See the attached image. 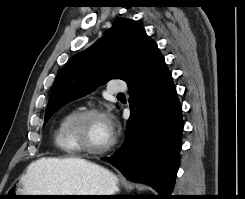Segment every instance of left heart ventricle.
I'll return each mask as SVG.
<instances>
[{
  "label": "left heart ventricle",
  "instance_id": "obj_1",
  "mask_svg": "<svg viewBox=\"0 0 245 199\" xmlns=\"http://www.w3.org/2000/svg\"><path fill=\"white\" fill-rule=\"evenodd\" d=\"M80 137L91 148L106 146L112 138L108 119L102 116L88 118L82 125Z\"/></svg>",
  "mask_w": 245,
  "mask_h": 199
}]
</instances>
